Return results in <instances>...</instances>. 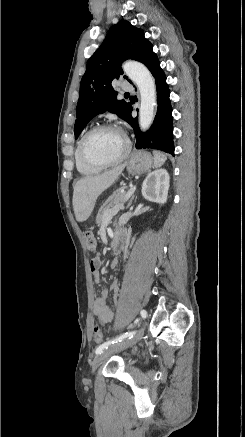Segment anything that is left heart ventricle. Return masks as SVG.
I'll return each mask as SVG.
<instances>
[{"instance_id":"1","label":"left heart ventricle","mask_w":245,"mask_h":437,"mask_svg":"<svg viewBox=\"0 0 245 437\" xmlns=\"http://www.w3.org/2000/svg\"><path fill=\"white\" fill-rule=\"evenodd\" d=\"M125 149L124 136L116 130H105L92 135L86 143L88 155L99 161L118 158Z\"/></svg>"}]
</instances>
